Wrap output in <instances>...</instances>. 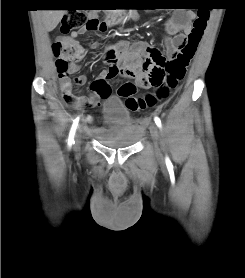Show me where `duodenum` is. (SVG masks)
<instances>
[{
	"label": "duodenum",
	"instance_id": "1",
	"mask_svg": "<svg viewBox=\"0 0 245 278\" xmlns=\"http://www.w3.org/2000/svg\"><path fill=\"white\" fill-rule=\"evenodd\" d=\"M121 16L119 15H113L107 18L106 23L111 25V24H115L121 21Z\"/></svg>",
	"mask_w": 245,
	"mask_h": 278
}]
</instances>
